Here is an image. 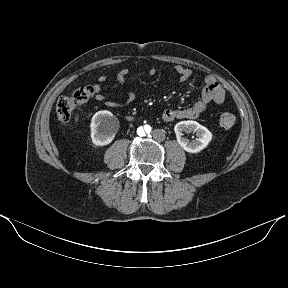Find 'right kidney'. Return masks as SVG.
Wrapping results in <instances>:
<instances>
[{"label":"right kidney","instance_id":"right-kidney-1","mask_svg":"<svg viewBox=\"0 0 288 288\" xmlns=\"http://www.w3.org/2000/svg\"><path fill=\"white\" fill-rule=\"evenodd\" d=\"M116 119L107 110L98 111L91 120V139L96 146H105L115 137Z\"/></svg>","mask_w":288,"mask_h":288}]
</instances>
